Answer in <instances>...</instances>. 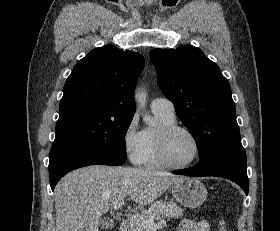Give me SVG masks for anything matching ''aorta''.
Here are the masks:
<instances>
[{"label": "aorta", "instance_id": "aorta-1", "mask_svg": "<svg viewBox=\"0 0 280 231\" xmlns=\"http://www.w3.org/2000/svg\"><path fill=\"white\" fill-rule=\"evenodd\" d=\"M147 94H145V90H136L135 92V100L137 104H139L140 108H145L146 106V100ZM143 121L147 123V125H157L158 121L155 119V117L152 116H143Z\"/></svg>", "mask_w": 280, "mask_h": 231}]
</instances>
